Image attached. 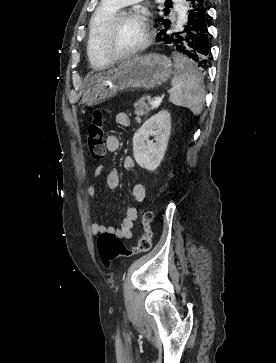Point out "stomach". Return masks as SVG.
Wrapping results in <instances>:
<instances>
[{
	"label": "stomach",
	"instance_id": "1",
	"mask_svg": "<svg viewBox=\"0 0 276 363\" xmlns=\"http://www.w3.org/2000/svg\"><path fill=\"white\" fill-rule=\"evenodd\" d=\"M172 73V62L165 55L152 53L136 56L91 80L82 102L87 106H95L130 87L155 89L167 82Z\"/></svg>",
	"mask_w": 276,
	"mask_h": 363
}]
</instances>
